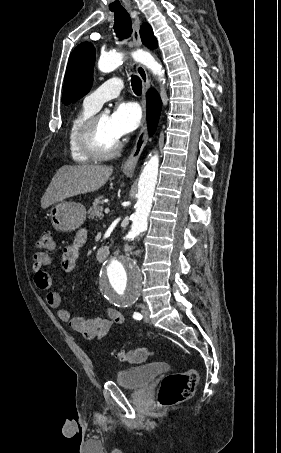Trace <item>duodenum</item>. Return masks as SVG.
<instances>
[{
    "instance_id": "1",
    "label": "duodenum",
    "mask_w": 281,
    "mask_h": 453,
    "mask_svg": "<svg viewBox=\"0 0 281 453\" xmlns=\"http://www.w3.org/2000/svg\"><path fill=\"white\" fill-rule=\"evenodd\" d=\"M109 256V248L107 246H101L96 252V259L99 262L105 261Z\"/></svg>"
}]
</instances>
